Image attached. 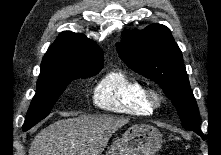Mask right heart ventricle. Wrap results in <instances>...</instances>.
<instances>
[{
  "label": "right heart ventricle",
  "instance_id": "1",
  "mask_svg": "<svg viewBox=\"0 0 221 155\" xmlns=\"http://www.w3.org/2000/svg\"><path fill=\"white\" fill-rule=\"evenodd\" d=\"M146 88L123 70L106 74L93 91V101L103 110L132 115H148L152 108L145 98Z\"/></svg>",
  "mask_w": 221,
  "mask_h": 155
}]
</instances>
